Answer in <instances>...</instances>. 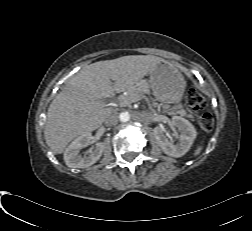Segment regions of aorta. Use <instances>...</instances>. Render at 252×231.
I'll list each match as a JSON object with an SVG mask.
<instances>
[{
  "label": "aorta",
  "instance_id": "762f6f07",
  "mask_svg": "<svg viewBox=\"0 0 252 231\" xmlns=\"http://www.w3.org/2000/svg\"><path fill=\"white\" fill-rule=\"evenodd\" d=\"M119 118L121 122H128L130 119V114L128 112H122L120 113Z\"/></svg>",
  "mask_w": 252,
  "mask_h": 231
}]
</instances>
